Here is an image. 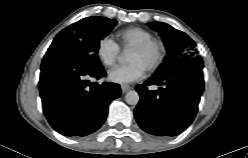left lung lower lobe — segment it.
Here are the masks:
<instances>
[{"mask_svg": "<svg viewBox=\"0 0 248 158\" xmlns=\"http://www.w3.org/2000/svg\"><path fill=\"white\" fill-rule=\"evenodd\" d=\"M203 61L193 57L166 74L152 76L136 86L140 101L134 109L138 125L156 136H175L194 120L204 90ZM148 85L160 86L148 90Z\"/></svg>", "mask_w": 248, "mask_h": 158, "instance_id": "left-lung-lower-lobe-1", "label": "left lung lower lobe"}]
</instances>
